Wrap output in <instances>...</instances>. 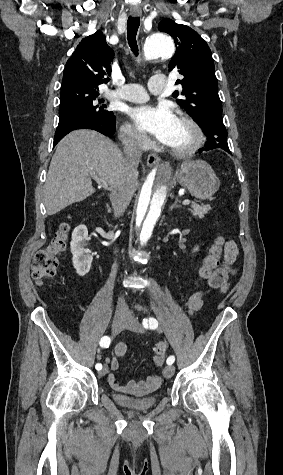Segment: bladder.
<instances>
[{
	"label": "bladder",
	"mask_w": 283,
	"mask_h": 475,
	"mask_svg": "<svg viewBox=\"0 0 283 475\" xmlns=\"http://www.w3.org/2000/svg\"><path fill=\"white\" fill-rule=\"evenodd\" d=\"M112 400L126 410L148 411L157 405L158 396L129 397L120 393H114Z\"/></svg>",
	"instance_id": "obj_1"
}]
</instances>
